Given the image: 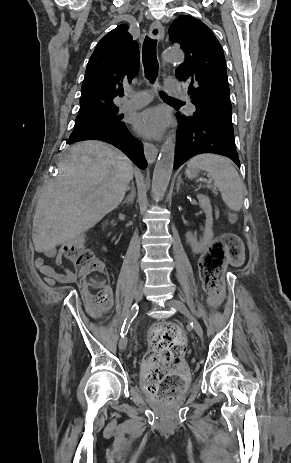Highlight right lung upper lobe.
<instances>
[{
    "instance_id": "obj_1",
    "label": "right lung upper lobe",
    "mask_w": 291,
    "mask_h": 463,
    "mask_svg": "<svg viewBox=\"0 0 291 463\" xmlns=\"http://www.w3.org/2000/svg\"><path fill=\"white\" fill-rule=\"evenodd\" d=\"M122 24L106 34L92 53L81 88L77 118L118 109L113 98L139 69V46Z\"/></svg>"
}]
</instances>
